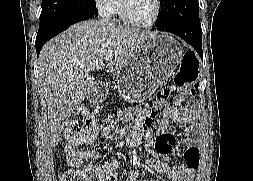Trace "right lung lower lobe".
Wrapping results in <instances>:
<instances>
[{"label": "right lung lower lobe", "instance_id": "98d812e1", "mask_svg": "<svg viewBox=\"0 0 253 181\" xmlns=\"http://www.w3.org/2000/svg\"><path fill=\"white\" fill-rule=\"evenodd\" d=\"M94 15L96 14L85 11H73L65 13L57 18L40 22L35 43L37 56H39L42 46L49 39L66 30L72 24L87 20Z\"/></svg>", "mask_w": 253, "mask_h": 181}]
</instances>
